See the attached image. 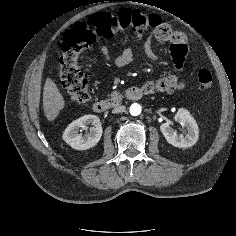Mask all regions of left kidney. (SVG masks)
<instances>
[{
	"label": "left kidney",
	"instance_id": "left-kidney-1",
	"mask_svg": "<svg viewBox=\"0 0 236 236\" xmlns=\"http://www.w3.org/2000/svg\"><path fill=\"white\" fill-rule=\"evenodd\" d=\"M175 120L186 128V135L177 134V132L171 127V122H165L160 126V130L165 139L171 145L178 148L192 147L198 140L199 129L196 121L191 116L188 110L181 108L175 115Z\"/></svg>",
	"mask_w": 236,
	"mask_h": 236
}]
</instances>
